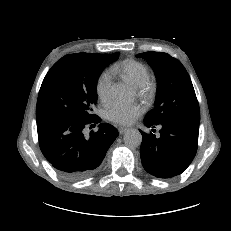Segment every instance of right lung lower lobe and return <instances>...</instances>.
<instances>
[{"label": "right lung lower lobe", "instance_id": "98d812e1", "mask_svg": "<svg viewBox=\"0 0 231 231\" xmlns=\"http://www.w3.org/2000/svg\"><path fill=\"white\" fill-rule=\"evenodd\" d=\"M100 122L63 118L37 120L40 149L56 171L66 179L81 180L99 169L107 150L118 136L110 124H100L97 132L86 136L85 128Z\"/></svg>", "mask_w": 231, "mask_h": 231}]
</instances>
